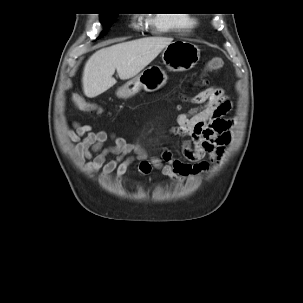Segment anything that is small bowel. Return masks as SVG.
Wrapping results in <instances>:
<instances>
[{
	"label": "small bowel",
	"mask_w": 303,
	"mask_h": 303,
	"mask_svg": "<svg viewBox=\"0 0 303 303\" xmlns=\"http://www.w3.org/2000/svg\"><path fill=\"white\" fill-rule=\"evenodd\" d=\"M183 101L197 107L179 115L173 133L182 137V154L194 164L174 158L167 147L161 156L149 157L141 144L130 143L114 133L94 131L88 124L73 122L67 138L74 143L78 161L88 171L100 172L104 179L115 173L116 180L121 181L128 169L137 163V172L141 176H148L156 169L171 182H181L207 171L218 162L230 141L231 127L230 122L221 120L230 108V102L220 88L208 87ZM109 139L113 143L107 145ZM110 155L116 158L108 161ZM205 156H208L207 160Z\"/></svg>",
	"instance_id": "1"
}]
</instances>
